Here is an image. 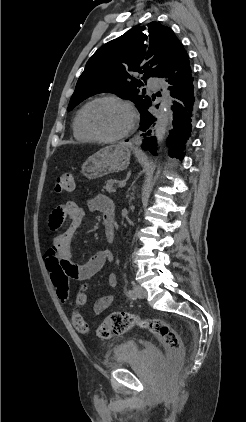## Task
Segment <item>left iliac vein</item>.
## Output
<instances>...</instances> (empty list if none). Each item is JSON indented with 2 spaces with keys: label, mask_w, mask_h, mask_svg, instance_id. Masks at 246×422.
I'll list each match as a JSON object with an SVG mask.
<instances>
[{
  "label": "left iliac vein",
  "mask_w": 246,
  "mask_h": 422,
  "mask_svg": "<svg viewBox=\"0 0 246 422\" xmlns=\"http://www.w3.org/2000/svg\"><path fill=\"white\" fill-rule=\"evenodd\" d=\"M134 291L136 293V296L140 299H144L147 297V291L141 286H135Z\"/></svg>",
  "instance_id": "4c4485c4"
}]
</instances>
